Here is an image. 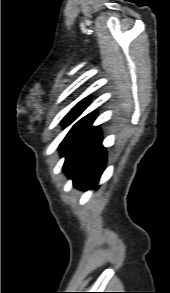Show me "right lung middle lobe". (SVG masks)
Here are the masks:
<instances>
[{"instance_id":"dd1d6c3e","label":"right lung middle lobe","mask_w":170,"mask_h":293,"mask_svg":"<svg viewBox=\"0 0 170 293\" xmlns=\"http://www.w3.org/2000/svg\"><path fill=\"white\" fill-rule=\"evenodd\" d=\"M83 110L84 108L71 110L63 119L64 125H69L82 113ZM95 117L96 112H92L78 121L68 132L63 142L61 143V155L66 156L64 170L77 158L84 146L98 130L97 127H91Z\"/></svg>"}]
</instances>
